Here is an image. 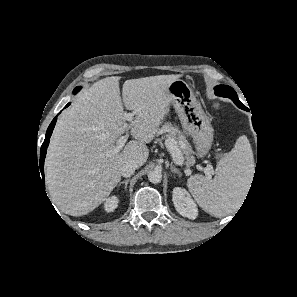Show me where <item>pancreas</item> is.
<instances>
[{"mask_svg": "<svg viewBox=\"0 0 297 297\" xmlns=\"http://www.w3.org/2000/svg\"><path fill=\"white\" fill-rule=\"evenodd\" d=\"M162 129L169 133L167 138L175 144L177 148L176 152L179 155H185L187 158H189L190 155L194 153L191 145L185 140L184 135L175 125L167 122L163 125Z\"/></svg>", "mask_w": 297, "mask_h": 297, "instance_id": "pancreas-1", "label": "pancreas"}]
</instances>
